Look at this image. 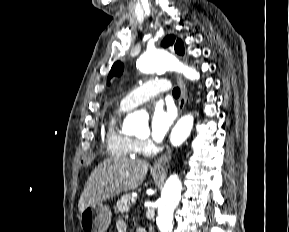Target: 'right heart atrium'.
Returning a JSON list of instances; mask_svg holds the SVG:
<instances>
[{"mask_svg":"<svg viewBox=\"0 0 289 232\" xmlns=\"http://www.w3.org/2000/svg\"><path fill=\"white\" fill-rule=\"evenodd\" d=\"M138 147L140 152H146L149 149V142L147 140H139Z\"/></svg>","mask_w":289,"mask_h":232,"instance_id":"1","label":"right heart atrium"}]
</instances>
